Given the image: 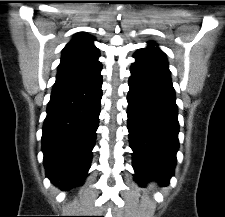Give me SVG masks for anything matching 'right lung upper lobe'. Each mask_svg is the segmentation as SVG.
<instances>
[{
    "instance_id": "1",
    "label": "right lung upper lobe",
    "mask_w": 225,
    "mask_h": 217,
    "mask_svg": "<svg viewBox=\"0 0 225 217\" xmlns=\"http://www.w3.org/2000/svg\"><path fill=\"white\" fill-rule=\"evenodd\" d=\"M99 56L93 38L85 33L77 34L62 51L54 87L87 83L100 77Z\"/></svg>"
}]
</instances>
